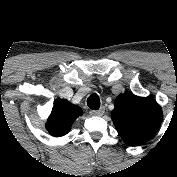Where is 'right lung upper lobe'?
Segmentation results:
<instances>
[{"label": "right lung upper lobe", "mask_w": 177, "mask_h": 177, "mask_svg": "<svg viewBox=\"0 0 177 177\" xmlns=\"http://www.w3.org/2000/svg\"><path fill=\"white\" fill-rule=\"evenodd\" d=\"M80 115H82V109L79 106L64 99L60 100L55 103L46 128L52 136L66 135L70 131L73 122Z\"/></svg>", "instance_id": "obj_1"}]
</instances>
